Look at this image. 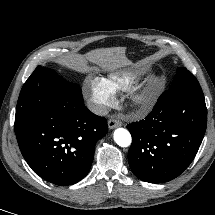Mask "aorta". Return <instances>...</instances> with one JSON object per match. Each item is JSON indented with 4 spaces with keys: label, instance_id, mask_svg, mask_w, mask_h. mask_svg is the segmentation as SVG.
<instances>
[{
    "label": "aorta",
    "instance_id": "obj_1",
    "mask_svg": "<svg viewBox=\"0 0 215 215\" xmlns=\"http://www.w3.org/2000/svg\"><path fill=\"white\" fill-rule=\"evenodd\" d=\"M114 140L121 147H128L131 144L132 138L128 130L118 128L114 131Z\"/></svg>",
    "mask_w": 215,
    "mask_h": 215
}]
</instances>
